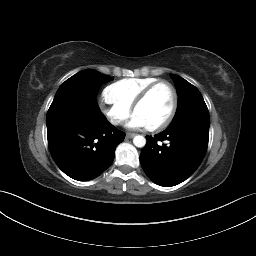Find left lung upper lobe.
<instances>
[{"label":"left lung upper lobe","instance_id":"obj_1","mask_svg":"<svg viewBox=\"0 0 256 256\" xmlns=\"http://www.w3.org/2000/svg\"><path fill=\"white\" fill-rule=\"evenodd\" d=\"M178 93L176 114L167 128L193 121L209 126V112L199 90L178 75L170 74Z\"/></svg>","mask_w":256,"mask_h":256}]
</instances>
